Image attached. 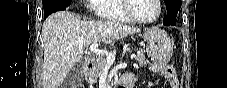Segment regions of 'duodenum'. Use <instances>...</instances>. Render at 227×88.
<instances>
[{
  "mask_svg": "<svg viewBox=\"0 0 227 88\" xmlns=\"http://www.w3.org/2000/svg\"><path fill=\"white\" fill-rule=\"evenodd\" d=\"M96 59L95 58H90L84 62V68L88 69L91 68L95 65ZM132 85V80L131 79H120L117 84L113 88H123L125 86Z\"/></svg>",
  "mask_w": 227,
  "mask_h": 88,
  "instance_id": "obj_1",
  "label": "duodenum"
}]
</instances>
